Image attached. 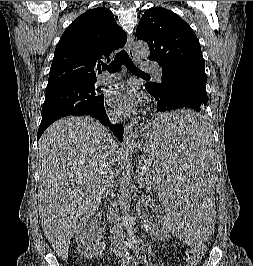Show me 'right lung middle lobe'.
Returning <instances> with one entry per match:
<instances>
[{
    "instance_id": "dd1d6c3e",
    "label": "right lung middle lobe",
    "mask_w": 253,
    "mask_h": 266,
    "mask_svg": "<svg viewBox=\"0 0 253 266\" xmlns=\"http://www.w3.org/2000/svg\"><path fill=\"white\" fill-rule=\"evenodd\" d=\"M91 82H71L46 89L40 125L51 124L69 115H79L98 107L104 101L100 88Z\"/></svg>"
}]
</instances>
